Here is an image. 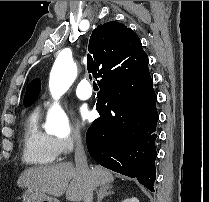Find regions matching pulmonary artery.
I'll return each instance as SVG.
<instances>
[{
	"instance_id": "e3ab8cb5",
	"label": "pulmonary artery",
	"mask_w": 209,
	"mask_h": 202,
	"mask_svg": "<svg viewBox=\"0 0 209 202\" xmlns=\"http://www.w3.org/2000/svg\"><path fill=\"white\" fill-rule=\"evenodd\" d=\"M93 93L92 86L89 84L87 79L82 80L76 90V95L81 100H87ZM44 105L47 107L50 105V101L46 100Z\"/></svg>"
}]
</instances>
